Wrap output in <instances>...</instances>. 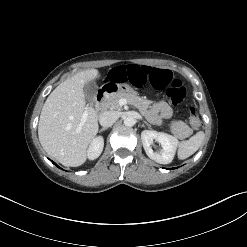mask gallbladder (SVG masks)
Here are the masks:
<instances>
[{"label":"gallbladder","instance_id":"gallbladder-1","mask_svg":"<svg viewBox=\"0 0 247 247\" xmlns=\"http://www.w3.org/2000/svg\"><path fill=\"white\" fill-rule=\"evenodd\" d=\"M97 91V85L94 81L88 82L84 87L85 99L87 102L92 103L93 98Z\"/></svg>","mask_w":247,"mask_h":247}]
</instances>
